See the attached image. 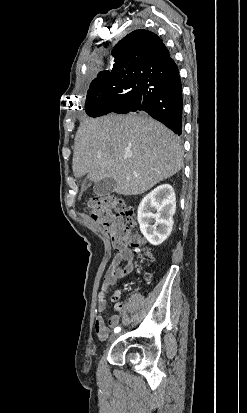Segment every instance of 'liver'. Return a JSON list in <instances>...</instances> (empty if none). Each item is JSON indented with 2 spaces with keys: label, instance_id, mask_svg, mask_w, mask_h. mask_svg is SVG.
I'll return each instance as SVG.
<instances>
[{
  "label": "liver",
  "instance_id": "6515ba94",
  "mask_svg": "<svg viewBox=\"0 0 247 413\" xmlns=\"http://www.w3.org/2000/svg\"><path fill=\"white\" fill-rule=\"evenodd\" d=\"M73 172L87 174L89 184L106 176L116 180L118 194H142L180 170L181 140L148 114H106L84 118L74 138Z\"/></svg>",
  "mask_w": 247,
  "mask_h": 413
}]
</instances>
